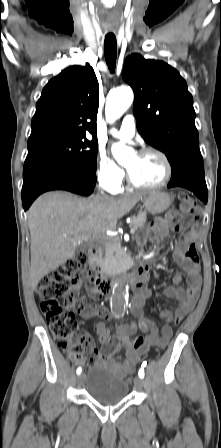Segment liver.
<instances>
[{
	"label": "liver",
	"instance_id": "1",
	"mask_svg": "<svg viewBox=\"0 0 221 448\" xmlns=\"http://www.w3.org/2000/svg\"><path fill=\"white\" fill-rule=\"evenodd\" d=\"M146 193L121 197H76L68 192H48L27 212L31 235V287L74 256L78 242L89 234L104 236L118 219L129 213Z\"/></svg>",
	"mask_w": 221,
	"mask_h": 448
}]
</instances>
